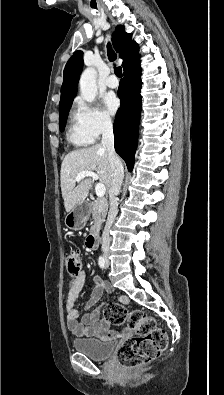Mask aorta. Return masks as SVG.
<instances>
[{
    "mask_svg": "<svg viewBox=\"0 0 224 395\" xmlns=\"http://www.w3.org/2000/svg\"><path fill=\"white\" fill-rule=\"evenodd\" d=\"M96 78L97 71L92 67L85 69L80 77L79 85L81 97L89 103H92L97 96L98 89Z\"/></svg>",
    "mask_w": 224,
    "mask_h": 395,
    "instance_id": "762f6f07",
    "label": "aorta"
}]
</instances>
